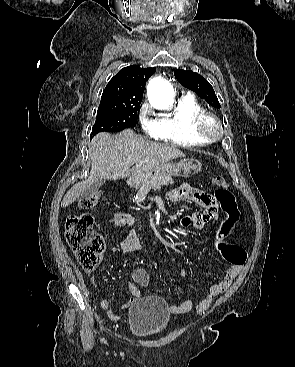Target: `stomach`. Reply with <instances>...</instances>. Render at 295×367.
Masks as SVG:
<instances>
[{"mask_svg": "<svg viewBox=\"0 0 295 367\" xmlns=\"http://www.w3.org/2000/svg\"><path fill=\"white\" fill-rule=\"evenodd\" d=\"M200 170L201 163L193 159L182 160L178 163H165L153 170L130 178V183L135 188H141L162 176L190 177Z\"/></svg>", "mask_w": 295, "mask_h": 367, "instance_id": "stomach-1", "label": "stomach"}]
</instances>
